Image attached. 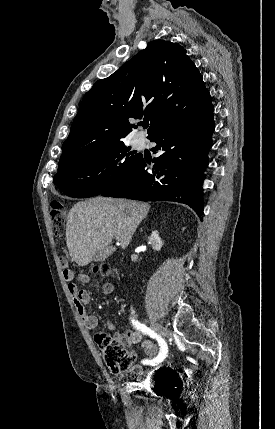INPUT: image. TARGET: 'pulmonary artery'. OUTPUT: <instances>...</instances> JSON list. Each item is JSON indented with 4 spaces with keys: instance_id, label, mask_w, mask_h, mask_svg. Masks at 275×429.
Here are the masks:
<instances>
[{
    "instance_id": "obj_1",
    "label": "pulmonary artery",
    "mask_w": 275,
    "mask_h": 429,
    "mask_svg": "<svg viewBox=\"0 0 275 429\" xmlns=\"http://www.w3.org/2000/svg\"><path fill=\"white\" fill-rule=\"evenodd\" d=\"M142 141H143L142 137H137L136 138V144H140V143H142Z\"/></svg>"
}]
</instances>
